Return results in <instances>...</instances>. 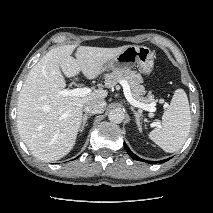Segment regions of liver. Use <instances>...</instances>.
I'll return each instance as SVG.
<instances>
[{"label": "liver", "mask_w": 213, "mask_h": 213, "mask_svg": "<svg viewBox=\"0 0 213 213\" xmlns=\"http://www.w3.org/2000/svg\"><path fill=\"white\" fill-rule=\"evenodd\" d=\"M117 48L64 45L47 52L29 71L19 93L17 128L21 139L36 158L52 162L66 156L73 148L83 115V107L94 100H104L106 90H94L83 97L59 95L66 81L80 72L87 79L97 78L105 63L125 50Z\"/></svg>", "instance_id": "obj_1"}]
</instances>
